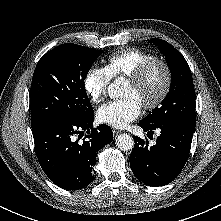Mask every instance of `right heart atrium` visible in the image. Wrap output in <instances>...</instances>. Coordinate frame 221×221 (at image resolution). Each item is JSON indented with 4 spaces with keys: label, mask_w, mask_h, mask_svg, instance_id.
I'll return each mask as SVG.
<instances>
[{
    "label": "right heart atrium",
    "mask_w": 221,
    "mask_h": 221,
    "mask_svg": "<svg viewBox=\"0 0 221 221\" xmlns=\"http://www.w3.org/2000/svg\"><path fill=\"white\" fill-rule=\"evenodd\" d=\"M111 78L106 66H92L88 70L83 85L85 92L93 102L99 103L104 100Z\"/></svg>",
    "instance_id": "right-heart-atrium-1"
}]
</instances>
